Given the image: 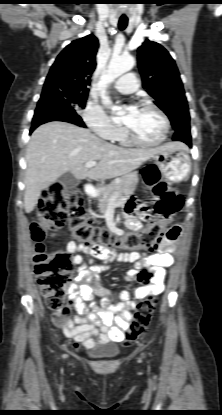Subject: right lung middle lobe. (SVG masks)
Here are the masks:
<instances>
[{"mask_svg": "<svg viewBox=\"0 0 222 415\" xmlns=\"http://www.w3.org/2000/svg\"><path fill=\"white\" fill-rule=\"evenodd\" d=\"M57 92V94L66 100L72 106V108H84L86 105L88 94L78 93L68 89L58 90ZM43 98L44 94L42 93L40 100Z\"/></svg>", "mask_w": 222, "mask_h": 415, "instance_id": "1", "label": "right lung middle lobe"}]
</instances>
